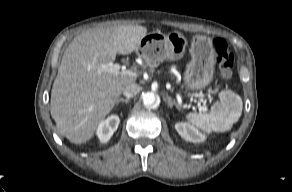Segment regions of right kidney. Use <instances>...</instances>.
I'll use <instances>...</instances> for the list:
<instances>
[{"label": "right kidney", "instance_id": "ca27d5eb", "mask_svg": "<svg viewBox=\"0 0 292 192\" xmlns=\"http://www.w3.org/2000/svg\"><path fill=\"white\" fill-rule=\"evenodd\" d=\"M120 119L117 115H111L102 121L97 128V136L102 143H107L117 130Z\"/></svg>", "mask_w": 292, "mask_h": 192}]
</instances>
